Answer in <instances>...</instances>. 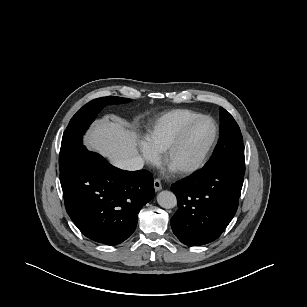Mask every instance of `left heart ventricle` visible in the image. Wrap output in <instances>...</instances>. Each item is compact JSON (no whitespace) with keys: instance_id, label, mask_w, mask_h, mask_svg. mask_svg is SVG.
<instances>
[{"instance_id":"1","label":"left heart ventricle","mask_w":307,"mask_h":307,"mask_svg":"<svg viewBox=\"0 0 307 307\" xmlns=\"http://www.w3.org/2000/svg\"><path fill=\"white\" fill-rule=\"evenodd\" d=\"M214 136V125L209 120L195 124L170 159L174 169L191 166L199 161Z\"/></svg>"}]
</instances>
